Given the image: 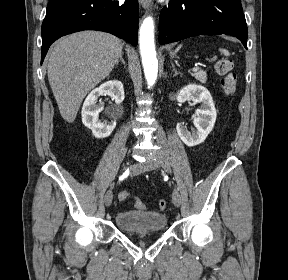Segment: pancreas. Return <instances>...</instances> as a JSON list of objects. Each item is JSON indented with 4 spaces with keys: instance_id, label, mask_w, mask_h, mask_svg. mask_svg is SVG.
Here are the masks:
<instances>
[{
    "instance_id": "cf45deb5",
    "label": "pancreas",
    "mask_w": 288,
    "mask_h": 280,
    "mask_svg": "<svg viewBox=\"0 0 288 280\" xmlns=\"http://www.w3.org/2000/svg\"><path fill=\"white\" fill-rule=\"evenodd\" d=\"M192 76L201 83H206L207 81L206 71L203 70L196 71L195 73L192 74Z\"/></svg>"
}]
</instances>
